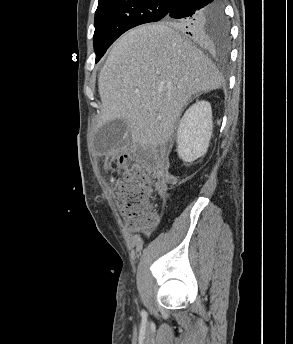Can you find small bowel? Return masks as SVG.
Returning <instances> with one entry per match:
<instances>
[{
  "instance_id": "1",
  "label": "small bowel",
  "mask_w": 293,
  "mask_h": 344,
  "mask_svg": "<svg viewBox=\"0 0 293 344\" xmlns=\"http://www.w3.org/2000/svg\"><path fill=\"white\" fill-rule=\"evenodd\" d=\"M159 193L160 195H163L164 193V188L162 186H159Z\"/></svg>"
}]
</instances>
